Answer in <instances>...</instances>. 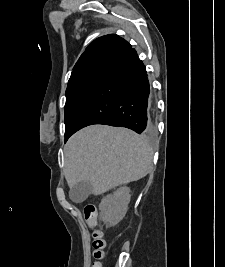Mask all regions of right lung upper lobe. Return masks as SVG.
<instances>
[{"label":"right lung upper lobe","mask_w":225,"mask_h":267,"mask_svg":"<svg viewBox=\"0 0 225 267\" xmlns=\"http://www.w3.org/2000/svg\"><path fill=\"white\" fill-rule=\"evenodd\" d=\"M130 48L127 41L115 34L95 39L75 64L68 85L89 76L105 74L116 58Z\"/></svg>","instance_id":"obj_1"}]
</instances>
